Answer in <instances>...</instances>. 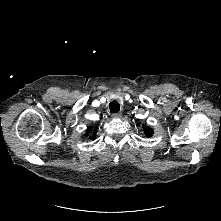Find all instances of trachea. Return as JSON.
<instances>
[{
	"label": "trachea",
	"mask_w": 221,
	"mask_h": 221,
	"mask_svg": "<svg viewBox=\"0 0 221 221\" xmlns=\"http://www.w3.org/2000/svg\"><path fill=\"white\" fill-rule=\"evenodd\" d=\"M109 109L112 113H118L120 111V104L116 100H113L109 104Z\"/></svg>",
	"instance_id": "1"
}]
</instances>
